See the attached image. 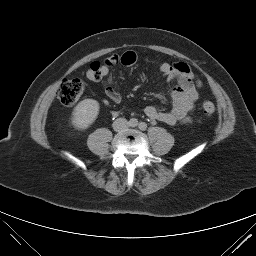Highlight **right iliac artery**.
<instances>
[{"instance_id":"right-iliac-artery-1","label":"right iliac artery","mask_w":256,"mask_h":256,"mask_svg":"<svg viewBox=\"0 0 256 256\" xmlns=\"http://www.w3.org/2000/svg\"><path fill=\"white\" fill-rule=\"evenodd\" d=\"M129 125H130L131 127H136V126L138 125L137 119H135V118L130 119Z\"/></svg>"}]
</instances>
